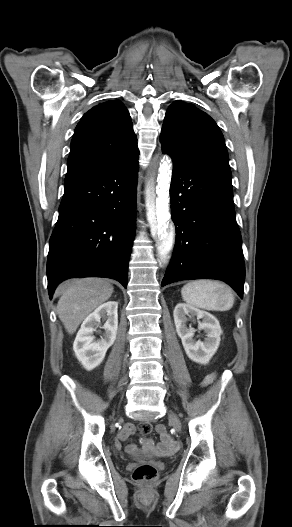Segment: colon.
I'll use <instances>...</instances> for the list:
<instances>
[{
	"mask_svg": "<svg viewBox=\"0 0 292 527\" xmlns=\"http://www.w3.org/2000/svg\"><path fill=\"white\" fill-rule=\"evenodd\" d=\"M139 430L143 434H147L151 430V424L149 423H143L139 426ZM157 476V470L156 468L148 463L141 464L137 466L133 472V478L141 483H151L155 480Z\"/></svg>",
	"mask_w": 292,
	"mask_h": 527,
	"instance_id": "1",
	"label": "colon"
}]
</instances>
